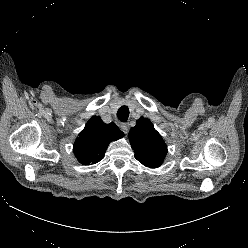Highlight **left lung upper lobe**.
Listing matches in <instances>:
<instances>
[{"instance_id": "obj_1", "label": "left lung upper lobe", "mask_w": 248, "mask_h": 248, "mask_svg": "<svg viewBox=\"0 0 248 248\" xmlns=\"http://www.w3.org/2000/svg\"><path fill=\"white\" fill-rule=\"evenodd\" d=\"M129 140L135 158L143 165L156 168L162 164L167 146L149 119L137 120L136 126L130 129Z\"/></svg>"}]
</instances>
